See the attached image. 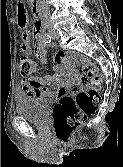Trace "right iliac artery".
Segmentation results:
<instances>
[{"label":"right iliac artery","mask_w":123,"mask_h":167,"mask_svg":"<svg viewBox=\"0 0 123 167\" xmlns=\"http://www.w3.org/2000/svg\"><path fill=\"white\" fill-rule=\"evenodd\" d=\"M43 41L46 44L51 43V36L49 34H44Z\"/></svg>","instance_id":"obj_1"}]
</instances>
